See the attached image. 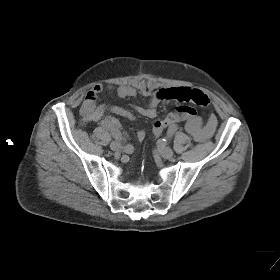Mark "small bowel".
<instances>
[{"label": "small bowel", "instance_id": "c3829d8e", "mask_svg": "<svg viewBox=\"0 0 280 280\" xmlns=\"http://www.w3.org/2000/svg\"><path fill=\"white\" fill-rule=\"evenodd\" d=\"M113 90L120 98H134L137 91L129 85H95L86 95L85 100L80 109V114L85 122L98 121L105 118L109 120L118 130L119 122L108 113H113L130 120H134L135 116L132 112L125 108L99 103V95L104 90ZM175 100L181 103H193L199 106H207L209 98L202 91L188 87L161 88L151 93L150 101L146 106H135V111L140 115L153 119L157 116V106L164 101ZM104 119V120H105ZM218 120L214 114H211L206 121L199 115L185 120V129L187 133L197 142H204L214 134ZM146 136V130L140 129L137 132V138L143 140Z\"/></svg>", "mask_w": 280, "mask_h": 280}]
</instances>
